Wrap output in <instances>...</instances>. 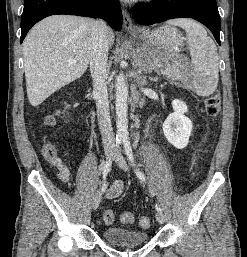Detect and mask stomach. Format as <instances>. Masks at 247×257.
Segmentation results:
<instances>
[{"label":"stomach","mask_w":247,"mask_h":257,"mask_svg":"<svg viewBox=\"0 0 247 257\" xmlns=\"http://www.w3.org/2000/svg\"><path fill=\"white\" fill-rule=\"evenodd\" d=\"M132 35L137 41L133 59L141 70L146 71L157 66L173 67L175 71L168 77L180 80L188 88H194L193 69L180 61L179 53L184 37L175 27L165 25Z\"/></svg>","instance_id":"stomach-1"}]
</instances>
